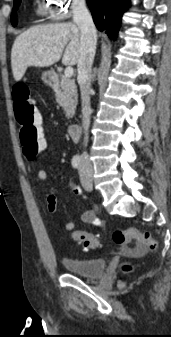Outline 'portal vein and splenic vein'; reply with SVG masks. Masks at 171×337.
<instances>
[{"label":"portal vein and splenic vein","instance_id":"1","mask_svg":"<svg viewBox=\"0 0 171 337\" xmlns=\"http://www.w3.org/2000/svg\"><path fill=\"white\" fill-rule=\"evenodd\" d=\"M73 75V68L71 66L66 67L64 71V76L70 78Z\"/></svg>","mask_w":171,"mask_h":337}]
</instances>
